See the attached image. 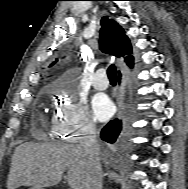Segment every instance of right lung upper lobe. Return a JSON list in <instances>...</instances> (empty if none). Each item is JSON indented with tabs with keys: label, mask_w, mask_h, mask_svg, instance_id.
Here are the masks:
<instances>
[{
	"label": "right lung upper lobe",
	"mask_w": 188,
	"mask_h": 189,
	"mask_svg": "<svg viewBox=\"0 0 188 189\" xmlns=\"http://www.w3.org/2000/svg\"><path fill=\"white\" fill-rule=\"evenodd\" d=\"M100 49L104 53L124 58L128 66H133L132 47L123 28L113 19L104 16L101 20ZM57 61V59H56ZM53 64H51L52 66ZM120 74V72H119Z\"/></svg>",
	"instance_id": "cb5924a9"
}]
</instances>
